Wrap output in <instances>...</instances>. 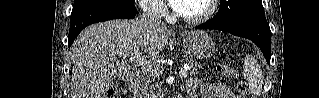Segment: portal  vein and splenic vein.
Listing matches in <instances>:
<instances>
[{
  "label": "portal vein and splenic vein",
  "instance_id": "1",
  "mask_svg": "<svg viewBox=\"0 0 319 98\" xmlns=\"http://www.w3.org/2000/svg\"><path fill=\"white\" fill-rule=\"evenodd\" d=\"M118 55H123V56H129L132 60H134L137 65L144 70L145 72H148L150 74H157L159 70V66L151 63L150 61L146 60L145 58L141 57V53L139 49L135 50H123V51H118ZM188 66H184L182 70L179 72V76L181 78H184L188 74Z\"/></svg>",
  "mask_w": 319,
  "mask_h": 98
}]
</instances>
